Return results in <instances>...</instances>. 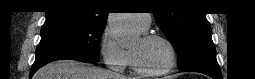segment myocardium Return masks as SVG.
<instances>
[{
	"label": "myocardium",
	"mask_w": 255,
	"mask_h": 79,
	"mask_svg": "<svg viewBox=\"0 0 255 79\" xmlns=\"http://www.w3.org/2000/svg\"><path fill=\"white\" fill-rule=\"evenodd\" d=\"M143 40L146 42L152 41V40H160V41L164 42L168 48V51H169V60H168V63L166 64V66L164 68H162L161 70L148 71L141 67L135 54L133 52H131V54H130L131 62H132L133 68L136 71V73H138L139 75L149 76V77L160 76V75H164V74L168 73L175 66L176 61H177V53H176V49H175L173 43L164 35L157 34V33L147 34L143 37Z\"/></svg>",
	"instance_id": "1"
}]
</instances>
